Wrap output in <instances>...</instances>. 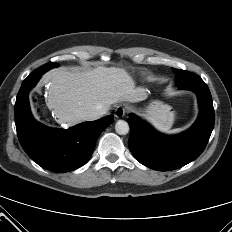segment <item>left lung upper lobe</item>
<instances>
[{
	"label": "left lung upper lobe",
	"mask_w": 232,
	"mask_h": 232,
	"mask_svg": "<svg viewBox=\"0 0 232 232\" xmlns=\"http://www.w3.org/2000/svg\"><path fill=\"white\" fill-rule=\"evenodd\" d=\"M173 71L176 75L175 80H176L177 87L187 82H191L193 80V77L195 76V74L188 72V71H184V70L173 69Z\"/></svg>",
	"instance_id": "obj_1"
}]
</instances>
